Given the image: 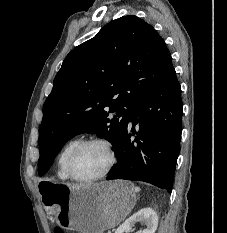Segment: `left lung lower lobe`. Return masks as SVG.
Here are the masks:
<instances>
[{"label": "left lung lower lobe", "instance_id": "1", "mask_svg": "<svg viewBox=\"0 0 227 233\" xmlns=\"http://www.w3.org/2000/svg\"><path fill=\"white\" fill-rule=\"evenodd\" d=\"M182 112L181 87L172 68L154 91L131 107L115 152L117 164L107 180L145 181L171 193L180 152Z\"/></svg>", "mask_w": 227, "mask_h": 233}]
</instances>
